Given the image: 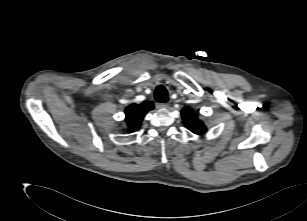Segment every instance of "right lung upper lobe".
Listing matches in <instances>:
<instances>
[{
	"label": "right lung upper lobe",
	"mask_w": 307,
	"mask_h": 221,
	"mask_svg": "<svg viewBox=\"0 0 307 221\" xmlns=\"http://www.w3.org/2000/svg\"><path fill=\"white\" fill-rule=\"evenodd\" d=\"M154 108L153 103L143 102L141 104H131L125 110V121L129 127V132L139 129L145 114Z\"/></svg>",
	"instance_id": "1"
}]
</instances>
